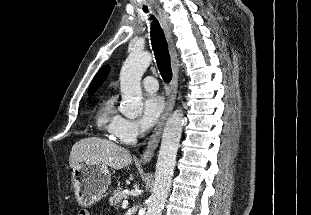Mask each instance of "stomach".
<instances>
[{"label":"stomach","mask_w":311,"mask_h":215,"mask_svg":"<svg viewBox=\"0 0 311 215\" xmlns=\"http://www.w3.org/2000/svg\"><path fill=\"white\" fill-rule=\"evenodd\" d=\"M107 166L82 162L72 169V185L77 202L81 206H91L100 200L110 185Z\"/></svg>","instance_id":"0dacf381"}]
</instances>
